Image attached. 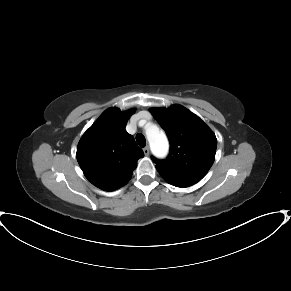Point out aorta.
Returning a JSON list of instances; mask_svg holds the SVG:
<instances>
[{"label":"aorta","instance_id":"1","mask_svg":"<svg viewBox=\"0 0 291 291\" xmlns=\"http://www.w3.org/2000/svg\"><path fill=\"white\" fill-rule=\"evenodd\" d=\"M145 133L153 153L160 157L165 156L169 148L165 133L155 124H149Z\"/></svg>","mask_w":291,"mask_h":291}]
</instances>
